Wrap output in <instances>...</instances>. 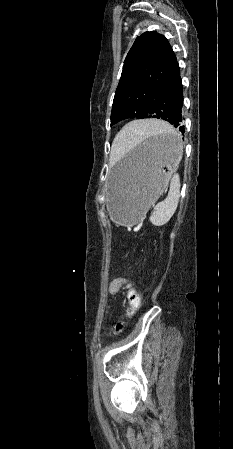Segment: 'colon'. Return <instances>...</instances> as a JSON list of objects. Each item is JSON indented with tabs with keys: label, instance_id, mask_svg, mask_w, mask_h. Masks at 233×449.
<instances>
[{
	"label": "colon",
	"instance_id": "1",
	"mask_svg": "<svg viewBox=\"0 0 233 449\" xmlns=\"http://www.w3.org/2000/svg\"><path fill=\"white\" fill-rule=\"evenodd\" d=\"M122 287H125L127 290V316L132 317L139 310L141 303L140 295L132 283L123 277H113L110 284L107 286L108 293L111 296H117ZM121 330L122 325H118L117 332H120Z\"/></svg>",
	"mask_w": 233,
	"mask_h": 449
}]
</instances>
